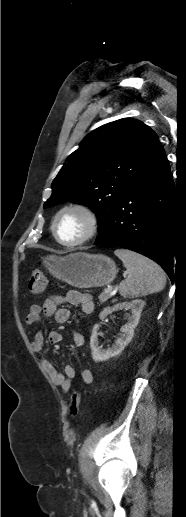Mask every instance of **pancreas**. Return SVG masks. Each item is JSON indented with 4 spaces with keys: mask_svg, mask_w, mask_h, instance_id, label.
<instances>
[{
    "mask_svg": "<svg viewBox=\"0 0 186 517\" xmlns=\"http://www.w3.org/2000/svg\"><path fill=\"white\" fill-rule=\"evenodd\" d=\"M110 297H111L110 293H106V292H103L98 296L100 303L106 302Z\"/></svg>",
    "mask_w": 186,
    "mask_h": 517,
    "instance_id": "pancreas-1",
    "label": "pancreas"
}]
</instances>
